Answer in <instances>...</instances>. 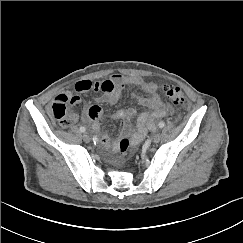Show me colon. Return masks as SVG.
I'll return each instance as SVG.
<instances>
[{"label": "colon", "instance_id": "1", "mask_svg": "<svg viewBox=\"0 0 243 243\" xmlns=\"http://www.w3.org/2000/svg\"><path fill=\"white\" fill-rule=\"evenodd\" d=\"M162 96L177 106H185L186 98L181 89L174 85H164L162 87ZM52 114L59 121L60 125L66 127L70 124L69 115L66 111V104L56 102L52 106ZM130 149V140L123 138L119 143V151L126 155Z\"/></svg>", "mask_w": 243, "mask_h": 243}]
</instances>
